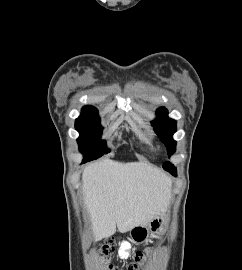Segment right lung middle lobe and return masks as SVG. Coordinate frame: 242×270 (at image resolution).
Instances as JSON below:
<instances>
[{"mask_svg": "<svg viewBox=\"0 0 242 270\" xmlns=\"http://www.w3.org/2000/svg\"><path fill=\"white\" fill-rule=\"evenodd\" d=\"M75 128L80 133L77 141L80 152L84 154L83 163L110 152L106 149L105 142L100 141L102 127L97 113L80 116L76 119Z\"/></svg>", "mask_w": 242, "mask_h": 270, "instance_id": "1", "label": "right lung middle lobe"}]
</instances>
